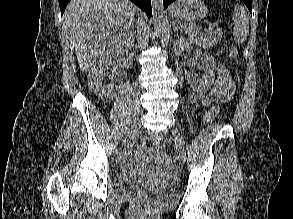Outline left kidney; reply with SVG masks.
<instances>
[{"instance_id":"5707ae66","label":"left kidney","mask_w":293,"mask_h":219,"mask_svg":"<svg viewBox=\"0 0 293 219\" xmlns=\"http://www.w3.org/2000/svg\"><path fill=\"white\" fill-rule=\"evenodd\" d=\"M194 41L192 39H185L184 37H178L176 39L174 47L177 55H182L184 51H188ZM201 68L204 70L205 74L203 77H196L195 74L191 71H186L185 76L187 78V82L190 86L197 92L205 93L214 83L215 78V70H216V61L213 56L208 55L207 53L203 54L202 58V66Z\"/></svg>"}]
</instances>
